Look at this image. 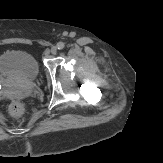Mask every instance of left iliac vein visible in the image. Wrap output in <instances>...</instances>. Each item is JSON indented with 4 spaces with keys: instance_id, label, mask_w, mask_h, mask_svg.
Here are the masks:
<instances>
[{
    "instance_id": "obj_1",
    "label": "left iliac vein",
    "mask_w": 163,
    "mask_h": 163,
    "mask_svg": "<svg viewBox=\"0 0 163 163\" xmlns=\"http://www.w3.org/2000/svg\"><path fill=\"white\" fill-rule=\"evenodd\" d=\"M50 52H51V54L55 55L57 53V47H55V46L52 47Z\"/></svg>"
}]
</instances>
